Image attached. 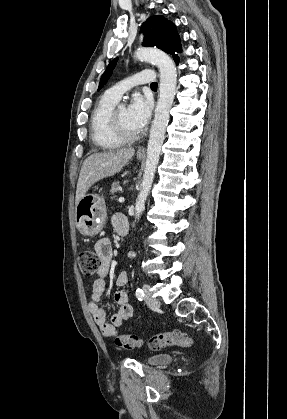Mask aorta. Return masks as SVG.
I'll list each match as a JSON object with an SVG mask.
<instances>
[{
    "label": "aorta",
    "mask_w": 287,
    "mask_h": 419,
    "mask_svg": "<svg viewBox=\"0 0 287 419\" xmlns=\"http://www.w3.org/2000/svg\"><path fill=\"white\" fill-rule=\"evenodd\" d=\"M135 55L139 60L149 61L157 65L160 72L159 99L150 129L141 189L135 203V219L139 220L145 210V202L151 190L159 162L161 147L169 122V112L176 92L177 71L172 59L159 49L139 48ZM130 256L133 257L134 254L132 253Z\"/></svg>",
    "instance_id": "aorta-1"
}]
</instances>
